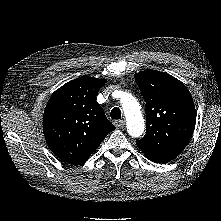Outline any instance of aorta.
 Wrapping results in <instances>:
<instances>
[{
  "mask_svg": "<svg viewBox=\"0 0 221 221\" xmlns=\"http://www.w3.org/2000/svg\"><path fill=\"white\" fill-rule=\"evenodd\" d=\"M121 105L126 117V127L129 135L139 137L144 132L145 124L139 102L129 93H122Z\"/></svg>",
  "mask_w": 221,
  "mask_h": 221,
  "instance_id": "762f6f07",
  "label": "aorta"
}]
</instances>
